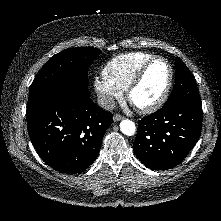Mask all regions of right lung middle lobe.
Returning a JSON list of instances; mask_svg holds the SVG:
<instances>
[{"label": "right lung middle lobe", "instance_id": "right-lung-middle-lobe-1", "mask_svg": "<svg viewBox=\"0 0 221 221\" xmlns=\"http://www.w3.org/2000/svg\"><path fill=\"white\" fill-rule=\"evenodd\" d=\"M101 51L91 47L68 48L52 56L37 73L29 89L27 106L54 86L75 82L88 86V69Z\"/></svg>", "mask_w": 221, "mask_h": 221}]
</instances>
